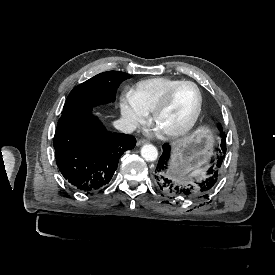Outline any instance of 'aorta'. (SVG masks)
I'll list each match as a JSON object with an SVG mask.
<instances>
[{
  "label": "aorta",
  "mask_w": 275,
  "mask_h": 275,
  "mask_svg": "<svg viewBox=\"0 0 275 275\" xmlns=\"http://www.w3.org/2000/svg\"><path fill=\"white\" fill-rule=\"evenodd\" d=\"M141 156L146 161H155L158 157V150L152 144H145L141 148Z\"/></svg>",
  "instance_id": "1"
}]
</instances>
